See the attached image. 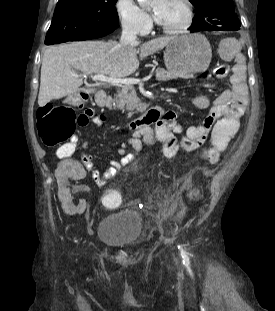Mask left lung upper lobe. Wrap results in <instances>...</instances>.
Here are the masks:
<instances>
[{
    "instance_id": "left-lung-upper-lobe-1",
    "label": "left lung upper lobe",
    "mask_w": 275,
    "mask_h": 311,
    "mask_svg": "<svg viewBox=\"0 0 275 311\" xmlns=\"http://www.w3.org/2000/svg\"><path fill=\"white\" fill-rule=\"evenodd\" d=\"M196 8L192 29L237 31L240 21L232 0H189Z\"/></svg>"
}]
</instances>
